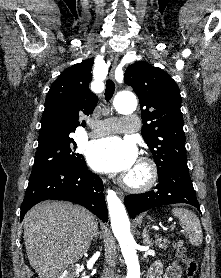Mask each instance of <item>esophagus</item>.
I'll list each match as a JSON object with an SVG mask.
<instances>
[{
    "instance_id": "esophagus-1",
    "label": "esophagus",
    "mask_w": 221,
    "mask_h": 278,
    "mask_svg": "<svg viewBox=\"0 0 221 278\" xmlns=\"http://www.w3.org/2000/svg\"><path fill=\"white\" fill-rule=\"evenodd\" d=\"M118 58L116 57L114 62L111 64L109 76L111 79H114L115 69L117 67ZM117 194L120 198H124V193L122 191H117Z\"/></svg>"
}]
</instances>
